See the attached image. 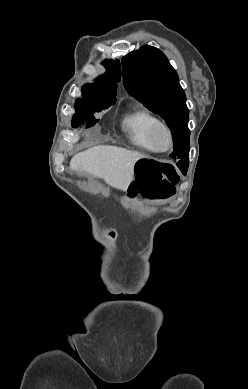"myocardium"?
<instances>
[{"instance_id":"obj_1","label":"myocardium","mask_w":248,"mask_h":389,"mask_svg":"<svg viewBox=\"0 0 248 389\" xmlns=\"http://www.w3.org/2000/svg\"><path fill=\"white\" fill-rule=\"evenodd\" d=\"M158 132H162L164 135L165 144L162 147L157 146L155 143V137H156ZM148 140H149L150 146L154 152L168 151L173 145V138H172L171 129L169 128V126L166 123L159 121V120L151 126V128L149 130V134H148Z\"/></svg>"}]
</instances>
